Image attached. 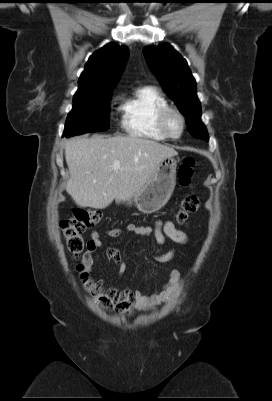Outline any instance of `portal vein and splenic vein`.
I'll list each match as a JSON object with an SVG mask.
<instances>
[{
  "mask_svg": "<svg viewBox=\"0 0 272 401\" xmlns=\"http://www.w3.org/2000/svg\"><path fill=\"white\" fill-rule=\"evenodd\" d=\"M119 168H120V163L118 161H115L113 166H112V169L113 170H118Z\"/></svg>",
  "mask_w": 272,
  "mask_h": 401,
  "instance_id": "1",
  "label": "portal vein and splenic vein"
}]
</instances>
